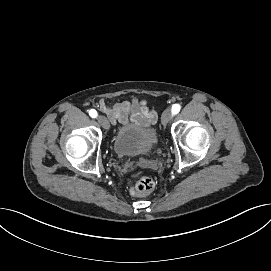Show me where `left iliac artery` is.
<instances>
[{"mask_svg":"<svg viewBox=\"0 0 271 271\" xmlns=\"http://www.w3.org/2000/svg\"><path fill=\"white\" fill-rule=\"evenodd\" d=\"M180 108H181V106L179 104H174L172 106V113H173V115L177 114L180 111ZM172 127H173V122L169 121L168 122V128H169L168 130H170V128H172Z\"/></svg>","mask_w":271,"mask_h":271,"instance_id":"left-iliac-artery-1","label":"left iliac artery"}]
</instances>
